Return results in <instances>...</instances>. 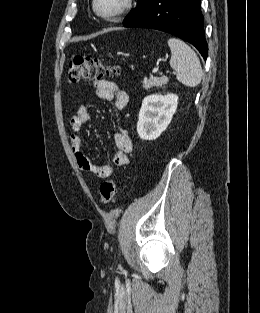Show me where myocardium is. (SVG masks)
<instances>
[{"instance_id":"1","label":"myocardium","mask_w":260,"mask_h":313,"mask_svg":"<svg viewBox=\"0 0 260 313\" xmlns=\"http://www.w3.org/2000/svg\"><path fill=\"white\" fill-rule=\"evenodd\" d=\"M134 0H123L121 6L110 13H102L98 10L97 0H92V9L94 13L101 19L114 20L127 13L133 6Z\"/></svg>"}]
</instances>
